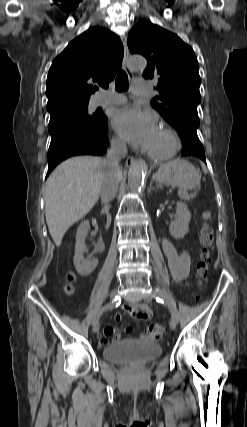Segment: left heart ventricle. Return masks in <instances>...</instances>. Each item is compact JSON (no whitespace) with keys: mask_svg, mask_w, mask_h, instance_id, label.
I'll return each mask as SVG.
<instances>
[{"mask_svg":"<svg viewBox=\"0 0 247 427\" xmlns=\"http://www.w3.org/2000/svg\"><path fill=\"white\" fill-rule=\"evenodd\" d=\"M168 145V136L166 135V133H164V131L158 128L148 149L154 151H161L164 150Z\"/></svg>","mask_w":247,"mask_h":427,"instance_id":"b2bd125f","label":"left heart ventricle"}]
</instances>
